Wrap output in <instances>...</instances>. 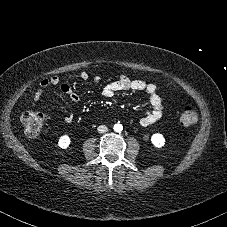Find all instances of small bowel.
<instances>
[{"label":"small bowel","mask_w":227,"mask_h":227,"mask_svg":"<svg viewBox=\"0 0 227 227\" xmlns=\"http://www.w3.org/2000/svg\"><path fill=\"white\" fill-rule=\"evenodd\" d=\"M78 78L81 81H87L89 76L86 72H81ZM100 81L101 78L99 76L93 77L94 83H99ZM50 86H58L61 93L70 98L73 102H79L81 99L79 93H77L70 84L63 83L58 77L54 76L49 79H43L40 82L39 88L35 91L33 96V107L41 100L44 90ZM128 91H145L149 97L150 108L145 111L143 117L139 120L141 126H148L161 118L163 105L157 92V87L153 83H148L140 79L131 80L125 75H120L115 81L108 83L103 88V95L112 97L118 92ZM72 120V115H67L63 118L65 123H71Z\"/></svg>","instance_id":"1"}]
</instances>
